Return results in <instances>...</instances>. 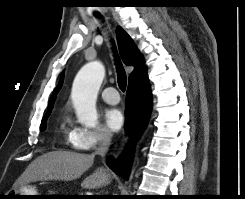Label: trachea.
Instances as JSON below:
<instances>
[{
  "mask_svg": "<svg viewBox=\"0 0 245 199\" xmlns=\"http://www.w3.org/2000/svg\"><path fill=\"white\" fill-rule=\"evenodd\" d=\"M115 63L117 67V81L118 86L122 91H125L127 85V77L120 58L115 50Z\"/></svg>",
  "mask_w": 245,
  "mask_h": 199,
  "instance_id": "3493384b",
  "label": "trachea"
}]
</instances>
